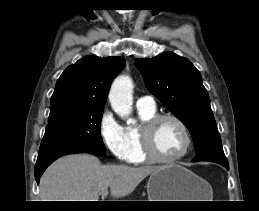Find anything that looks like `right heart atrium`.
Returning <instances> with one entry per match:
<instances>
[{
	"mask_svg": "<svg viewBox=\"0 0 259 211\" xmlns=\"http://www.w3.org/2000/svg\"><path fill=\"white\" fill-rule=\"evenodd\" d=\"M99 136L110 154L118 160H124V128L110 110H104L98 123Z\"/></svg>",
	"mask_w": 259,
	"mask_h": 211,
	"instance_id": "d8ad5b80",
	"label": "right heart atrium"
}]
</instances>
